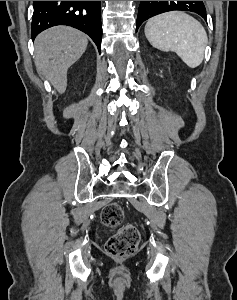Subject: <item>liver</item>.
Returning a JSON list of instances; mask_svg holds the SVG:
<instances>
[{
	"mask_svg": "<svg viewBox=\"0 0 237 300\" xmlns=\"http://www.w3.org/2000/svg\"><path fill=\"white\" fill-rule=\"evenodd\" d=\"M87 45V35L72 27H52L36 37V69L60 95L66 91L69 67L82 57Z\"/></svg>",
	"mask_w": 237,
	"mask_h": 300,
	"instance_id": "1",
	"label": "liver"
}]
</instances>
